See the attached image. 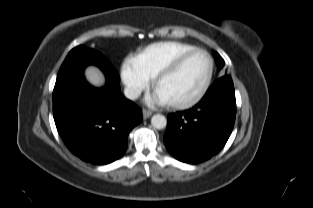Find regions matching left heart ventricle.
I'll return each mask as SVG.
<instances>
[{"label": "left heart ventricle", "instance_id": "left-heart-ventricle-1", "mask_svg": "<svg viewBox=\"0 0 313 208\" xmlns=\"http://www.w3.org/2000/svg\"><path fill=\"white\" fill-rule=\"evenodd\" d=\"M209 70L207 57L197 53L189 57L180 69L166 78L156 92L167 102L184 101L194 97L201 89Z\"/></svg>", "mask_w": 313, "mask_h": 208}]
</instances>
